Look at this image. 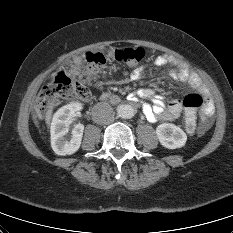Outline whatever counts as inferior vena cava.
<instances>
[{
	"mask_svg": "<svg viewBox=\"0 0 233 233\" xmlns=\"http://www.w3.org/2000/svg\"><path fill=\"white\" fill-rule=\"evenodd\" d=\"M92 119L97 124H110L114 120L113 108L106 102L97 103L92 110Z\"/></svg>",
	"mask_w": 233,
	"mask_h": 233,
	"instance_id": "1",
	"label": "inferior vena cava"
}]
</instances>
